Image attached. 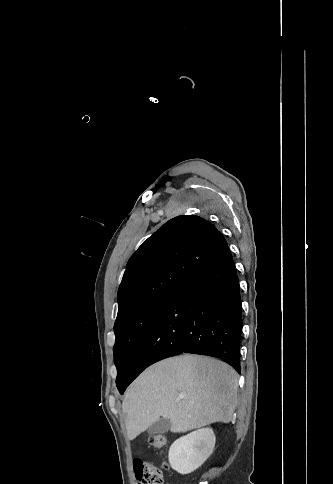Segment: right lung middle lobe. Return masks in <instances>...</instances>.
Returning a JSON list of instances; mask_svg holds the SVG:
<instances>
[{"label": "right lung middle lobe", "instance_id": "right-lung-middle-lobe-1", "mask_svg": "<svg viewBox=\"0 0 333 484\" xmlns=\"http://www.w3.org/2000/svg\"><path fill=\"white\" fill-rule=\"evenodd\" d=\"M176 290L164 291L134 306L116 319L114 324V361L117 368L116 386L125 390L131 365L144 337Z\"/></svg>", "mask_w": 333, "mask_h": 484}]
</instances>
